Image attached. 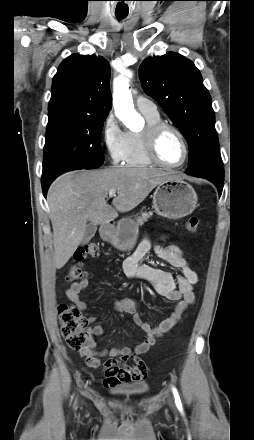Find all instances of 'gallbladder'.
Here are the masks:
<instances>
[{
    "label": "gallbladder",
    "mask_w": 254,
    "mask_h": 440,
    "mask_svg": "<svg viewBox=\"0 0 254 440\" xmlns=\"http://www.w3.org/2000/svg\"><path fill=\"white\" fill-rule=\"evenodd\" d=\"M96 231H97V226L95 224L93 223L87 224L81 244L83 245L87 244L91 240V238L95 235Z\"/></svg>",
    "instance_id": "bac80fb5"
}]
</instances>
